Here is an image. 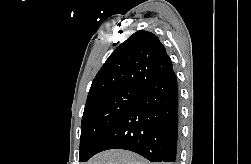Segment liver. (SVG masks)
Listing matches in <instances>:
<instances>
[{"label": "liver", "mask_w": 251, "mask_h": 164, "mask_svg": "<svg viewBox=\"0 0 251 164\" xmlns=\"http://www.w3.org/2000/svg\"><path fill=\"white\" fill-rule=\"evenodd\" d=\"M86 164H151L139 155L125 150H108L95 155Z\"/></svg>", "instance_id": "1"}]
</instances>
